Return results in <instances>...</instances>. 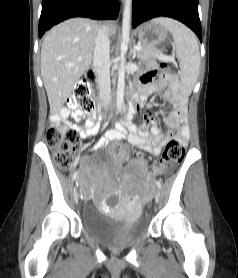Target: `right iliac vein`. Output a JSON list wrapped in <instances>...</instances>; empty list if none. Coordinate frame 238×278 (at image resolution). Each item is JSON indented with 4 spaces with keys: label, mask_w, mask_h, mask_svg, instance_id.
Listing matches in <instances>:
<instances>
[{
    "label": "right iliac vein",
    "mask_w": 238,
    "mask_h": 278,
    "mask_svg": "<svg viewBox=\"0 0 238 278\" xmlns=\"http://www.w3.org/2000/svg\"><path fill=\"white\" fill-rule=\"evenodd\" d=\"M73 195H77L76 186H73ZM74 202H78V197H77V199H74Z\"/></svg>",
    "instance_id": "obj_1"
}]
</instances>
